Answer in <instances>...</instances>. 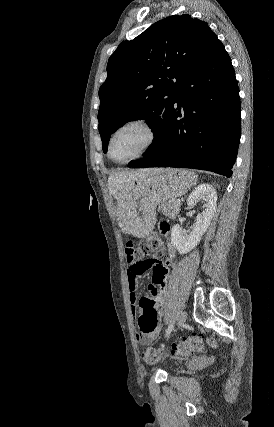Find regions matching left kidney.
Returning <instances> with one entry per match:
<instances>
[{"label":"left kidney","instance_id":"5707ae66","mask_svg":"<svg viewBox=\"0 0 274 427\" xmlns=\"http://www.w3.org/2000/svg\"><path fill=\"white\" fill-rule=\"evenodd\" d=\"M199 200L206 202L204 212L198 214L196 217L195 225L187 231H182L180 225L176 223L171 229V243L179 253H188L191 249L196 247L199 243L203 233L207 231L211 219L216 212L217 192L209 186V184H200L198 188L193 190L187 200V206L194 208Z\"/></svg>","mask_w":274,"mask_h":427}]
</instances>
